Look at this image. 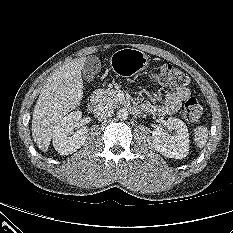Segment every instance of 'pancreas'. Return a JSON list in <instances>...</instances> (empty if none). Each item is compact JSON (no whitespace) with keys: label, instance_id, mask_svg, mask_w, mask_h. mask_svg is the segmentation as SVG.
Wrapping results in <instances>:
<instances>
[{"label":"pancreas","instance_id":"1","mask_svg":"<svg viewBox=\"0 0 233 233\" xmlns=\"http://www.w3.org/2000/svg\"><path fill=\"white\" fill-rule=\"evenodd\" d=\"M95 95L99 98L101 103H106L111 106L122 103V101L118 99L116 92L111 89H98L95 91Z\"/></svg>","mask_w":233,"mask_h":233}]
</instances>
